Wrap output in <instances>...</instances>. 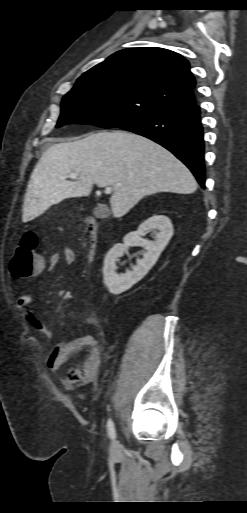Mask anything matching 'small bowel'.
<instances>
[{"instance_id":"c3829d8e","label":"small bowel","mask_w":247,"mask_h":513,"mask_svg":"<svg viewBox=\"0 0 247 513\" xmlns=\"http://www.w3.org/2000/svg\"><path fill=\"white\" fill-rule=\"evenodd\" d=\"M61 257L66 265L76 263V253L69 248H63L60 252H54L46 265L42 263L40 273L46 268L49 271L54 270L60 263ZM31 296L28 292H23L18 298L17 306L22 317L31 325V327L44 339L51 340L53 331L40 319L30 308ZM92 317H87L90 322ZM86 351L87 355L83 361L71 367L65 374V385L74 387L77 384H88L96 376L101 363V345L93 336H83L72 340H64L52 345L46 359L45 365L52 371L60 370L65 363L73 357H77Z\"/></svg>"}]
</instances>
